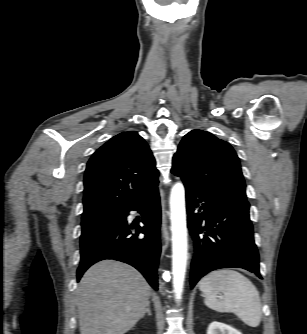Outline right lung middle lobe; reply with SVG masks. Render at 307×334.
Instances as JSON below:
<instances>
[{
	"label": "right lung middle lobe",
	"instance_id": "right-lung-middle-lobe-1",
	"mask_svg": "<svg viewBox=\"0 0 307 334\" xmlns=\"http://www.w3.org/2000/svg\"><path fill=\"white\" fill-rule=\"evenodd\" d=\"M120 214L121 213H100L82 216V234L80 237V244L116 223Z\"/></svg>",
	"mask_w": 307,
	"mask_h": 334
}]
</instances>
